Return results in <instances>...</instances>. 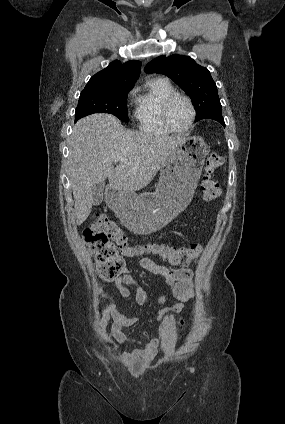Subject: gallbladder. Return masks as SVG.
Wrapping results in <instances>:
<instances>
[{"label":"gallbladder","mask_w":285,"mask_h":424,"mask_svg":"<svg viewBox=\"0 0 285 424\" xmlns=\"http://www.w3.org/2000/svg\"><path fill=\"white\" fill-rule=\"evenodd\" d=\"M105 195V183L99 182L92 187L93 205L98 206L102 203Z\"/></svg>","instance_id":"gallbladder-1"}]
</instances>
